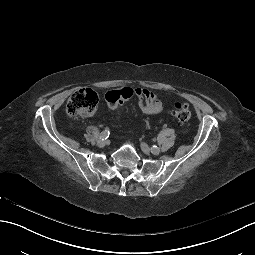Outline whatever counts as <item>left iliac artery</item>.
<instances>
[{"label": "left iliac artery", "instance_id": "1", "mask_svg": "<svg viewBox=\"0 0 255 255\" xmlns=\"http://www.w3.org/2000/svg\"><path fill=\"white\" fill-rule=\"evenodd\" d=\"M158 147L157 146H153L152 148H151V150L152 151H154V150H156ZM153 153V152H152Z\"/></svg>", "mask_w": 255, "mask_h": 255}]
</instances>
